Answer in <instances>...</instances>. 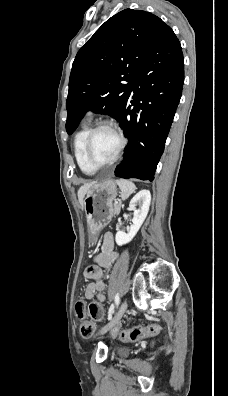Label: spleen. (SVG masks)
Instances as JSON below:
<instances>
[{"instance_id": "spleen-1", "label": "spleen", "mask_w": 228, "mask_h": 396, "mask_svg": "<svg viewBox=\"0 0 228 396\" xmlns=\"http://www.w3.org/2000/svg\"><path fill=\"white\" fill-rule=\"evenodd\" d=\"M116 183L121 190L120 196L122 200H126L136 189V186L133 182L125 179H117Z\"/></svg>"}]
</instances>
